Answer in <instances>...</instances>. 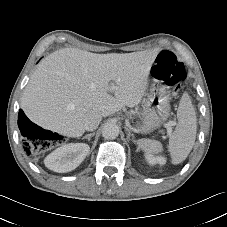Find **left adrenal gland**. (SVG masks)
Returning a JSON list of instances; mask_svg holds the SVG:
<instances>
[{
    "label": "left adrenal gland",
    "instance_id": "a2214340",
    "mask_svg": "<svg viewBox=\"0 0 227 227\" xmlns=\"http://www.w3.org/2000/svg\"><path fill=\"white\" fill-rule=\"evenodd\" d=\"M126 130H127V132H128L127 138L132 137L133 142L136 143L137 141L134 139V135L130 132V130H129L128 128H126Z\"/></svg>",
    "mask_w": 227,
    "mask_h": 227
}]
</instances>
